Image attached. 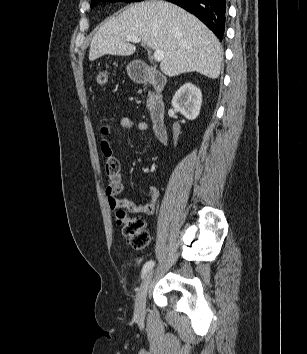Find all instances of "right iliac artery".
<instances>
[{
  "mask_svg": "<svg viewBox=\"0 0 307 354\" xmlns=\"http://www.w3.org/2000/svg\"><path fill=\"white\" fill-rule=\"evenodd\" d=\"M154 265L155 262L153 260L147 261L143 266L141 277L144 278L147 273L154 267Z\"/></svg>",
  "mask_w": 307,
  "mask_h": 354,
  "instance_id": "82829eb1",
  "label": "right iliac artery"
}]
</instances>
